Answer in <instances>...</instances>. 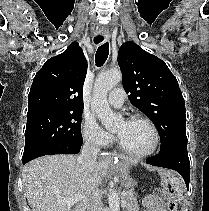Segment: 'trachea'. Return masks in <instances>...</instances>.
Here are the masks:
<instances>
[{"label": "trachea", "instance_id": "trachea-1", "mask_svg": "<svg viewBox=\"0 0 209 211\" xmlns=\"http://www.w3.org/2000/svg\"><path fill=\"white\" fill-rule=\"evenodd\" d=\"M108 54H109V43L106 42L97 49L95 55V63L97 67H100L105 63V61L108 58Z\"/></svg>", "mask_w": 209, "mask_h": 211}]
</instances>
